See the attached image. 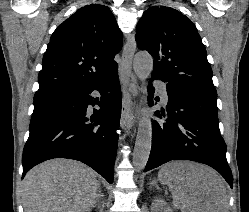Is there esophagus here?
I'll return each instance as SVG.
<instances>
[{
	"mask_svg": "<svg viewBox=\"0 0 249 212\" xmlns=\"http://www.w3.org/2000/svg\"><path fill=\"white\" fill-rule=\"evenodd\" d=\"M136 51L134 34H129L122 53L121 80L124 90L121 126L124 129H131L134 126L131 91L135 79L132 75V60Z\"/></svg>",
	"mask_w": 249,
	"mask_h": 212,
	"instance_id": "34e87169",
	"label": "esophagus"
}]
</instances>
